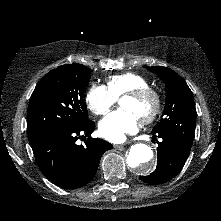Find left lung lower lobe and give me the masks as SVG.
<instances>
[{"instance_id": "0a47b994", "label": "left lung lower lobe", "mask_w": 221, "mask_h": 221, "mask_svg": "<svg viewBox=\"0 0 221 221\" xmlns=\"http://www.w3.org/2000/svg\"><path fill=\"white\" fill-rule=\"evenodd\" d=\"M153 137L161 138L158 143V163L155 171L140 179L150 184H162L175 177L183 168L191 147L185 145L171 134L154 133Z\"/></svg>"}]
</instances>
